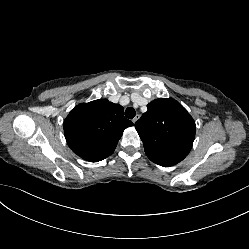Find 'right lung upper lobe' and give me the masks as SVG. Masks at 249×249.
Masks as SVG:
<instances>
[{"label":"right lung upper lobe","mask_w":249,"mask_h":249,"mask_svg":"<svg viewBox=\"0 0 249 249\" xmlns=\"http://www.w3.org/2000/svg\"><path fill=\"white\" fill-rule=\"evenodd\" d=\"M123 110L107 99L74 107L63 123L71 150L90 162L107 158L115 150L124 129L133 125L124 117Z\"/></svg>","instance_id":"1"}]
</instances>
